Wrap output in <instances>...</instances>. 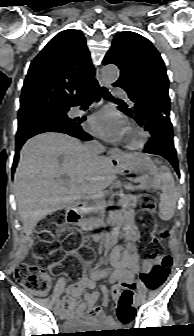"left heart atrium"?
<instances>
[{"label": "left heart atrium", "mask_w": 194, "mask_h": 336, "mask_svg": "<svg viewBox=\"0 0 194 336\" xmlns=\"http://www.w3.org/2000/svg\"><path fill=\"white\" fill-rule=\"evenodd\" d=\"M89 130L102 139L118 141L126 134V120L116 110L105 108L91 117Z\"/></svg>", "instance_id": "39dd6f15"}]
</instances>
